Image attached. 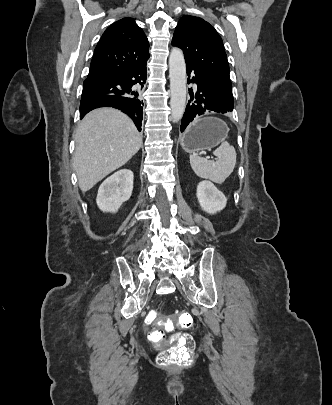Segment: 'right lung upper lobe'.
Here are the masks:
<instances>
[{
    "label": "right lung upper lobe",
    "mask_w": 332,
    "mask_h": 405,
    "mask_svg": "<svg viewBox=\"0 0 332 405\" xmlns=\"http://www.w3.org/2000/svg\"><path fill=\"white\" fill-rule=\"evenodd\" d=\"M149 58V43L143 30L132 18H123L109 26L98 42L88 77L134 68Z\"/></svg>",
    "instance_id": "cb5924a9"
}]
</instances>
